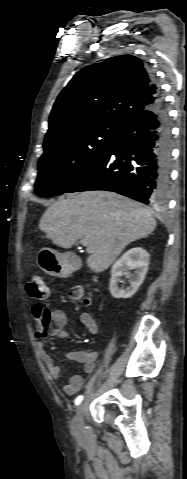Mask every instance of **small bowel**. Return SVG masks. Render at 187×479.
Masks as SVG:
<instances>
[{
	"label": "small bowel",
	"instance_id": "c3829d8e",
	"mask_svg": "<svg viewBox=\"0 0 187 479\" xmlns=\"http://www.w3.org/2000/svg\"><path fill=\"white\" fill-rule=\"evenodd\" d=\"M52 318L55 323L53 330V336L59 339H67L70 336L68 329L66 328V315L63 311H52ZM81 323L88 329L91 334H97L99 332V325L97 319L88 312H81L79 315ZM39 354L46 366L48 373L52 379H59L61 376V369L56 365L51 356L43 348L42 343H39ZM65 357L68 360L82 363L83 370L87 374L93 373L97 361V354L93 351L84 350H68L65 352ZM83 385V378L80 375H75L63 385V393L68 396H73L78 393Z\"/></svg>",
	"mask_w": 187,
	"mask_h": 479
}]
</instances>
